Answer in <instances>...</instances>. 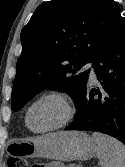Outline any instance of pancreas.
Wrapping results in <instances>:
<instances>
[{
  "mask_svg": "<svg viewBox=\"0 0 125 167\" xmlns=\"http://www.w3.org/2000/svg\"><path fill=\"white\" fill-rule=\"evenodd\" d=\"M66 167H78V166H76V165H69V166H66Z\"/></svg>",
  "mask_w": 125,
  "mask_h": 167,
  "instance_id": "obj_1",
  "label": "pancreas"
}]
</instances>
